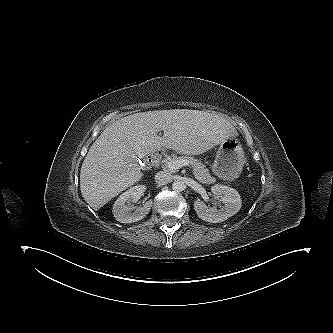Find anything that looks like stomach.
Masks as SVG:
<instances>
[{"label":"stomach","instance_id":"1","mask_svg":"<svg viewBox=\"0 0 333 333\" xmlns=\"http://www.w3.org/2000/svg\"><path fill=\"white\" fill-rule=\"evenodd\" d=\"M245 164V155L239 140L232 136L219 145L212 164L213 173L227 181L237 179Z\"/></svg>","mask_w":333,"mask_h":333}]
</instances>
